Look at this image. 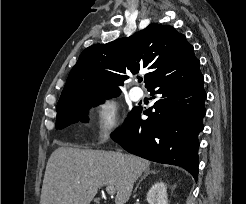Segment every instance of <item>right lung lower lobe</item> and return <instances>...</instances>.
I'll return each mask as SVG.
<instances>
[{
  "instance_id": "1",
  "label": "right lung lower lobe",
  "mask_w": 246,
  "mask_h": 204,
  "mask_svg": "<svg viewBox=\"0 0 246 204\" xmlns=\"http://www.w3.org/2000/svg\"><path fill=\"white\" fill-rule=\"evenodd\" d=\"M197 59L147 87L158 94L149 110L133 108L124 125L111 137L126 151L159 163L186 169L197 180L198 134L206 114L204 77ZM152 109H154L152 111ZM148 116L141 120V114Z\"/></svg>"
}]
</instances>
